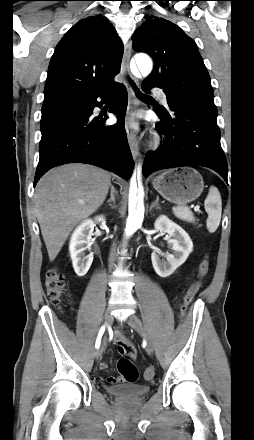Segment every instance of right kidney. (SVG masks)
I'll use <instances>...</instances> for the list:
<instances>
[{
    "instance_id": "ca27d5eb",
    "label": "right kidney",
    "mask_w": 254,
    "mask_h": 440,
    "mask_svg": "<svg viewBox=\"0 0 254 440\" xmlns=\"http://www.w3.org/2000/svg\"><path fill=\"white\" fill-rule=\"evenodd\" d=\"M104 222L103 216L96 217L94 220L87 219L75 229L71 236L69 251L74 271L78 276H84L92 264L93 255L90 253L84 256V251L87 248L90 249L92 245L91 236L95 224Z\"/></svg>"
}]
</instances>
